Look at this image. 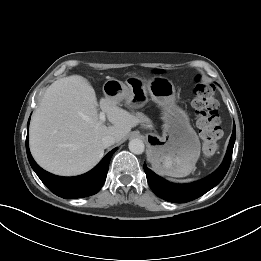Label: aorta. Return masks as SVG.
Masks as SVG:
<instances>
[{
  "label": "aorta",
  "instance_id": "762f6f07",
  "mask_svg": "<svg viewBox=\"0 0 261 261\" xmlns=\"http://www.w3.org/2000/svg\"><path fill=\"white\" fill-rule=\"evenodd\" d=\"M129 150L134 153V154H142L144 152V149H145V145L143 143L142 140L140 139H132L130 140L129 142Z\"/></svg>",
  "mask_w": 261,
  "mask_h": 261
}]
</instances>
